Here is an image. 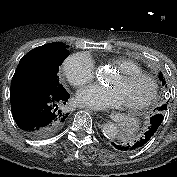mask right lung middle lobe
I'll use <instances>...</instances> for the list:
<instances>
[{"label": "right lung middle lobe", "instance_id": "obj_1", "mask_svg": "<svg viewBox=\"0 0 177 177\" xmlns=\"http://www.w3.org/2000/svg\"><path fill=\"white\" fill-rule=\"evenodd\" d=\"M67 56L69 52L64 44L46 52L27 53L19 62L11 87L32 86L53 92L65 91L59 82L58 70Z\"/></svg>", "mask_w": 177, "mask_h": 177}]
</instances>
